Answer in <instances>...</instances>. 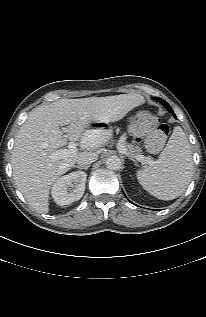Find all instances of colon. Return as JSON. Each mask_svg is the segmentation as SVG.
I'll list each match as a JSON object with an SVG mask.
<instances>
[{"label":"colon","mask_w":206,"mask_h":317,"mask_svg":"<svg viewBox=\"0 0 206 317\" xmlns=\"http://www.w3.org/2000/svg\"><path fill=\"white\" fill-rule=\"evenodd\" d=\"M135 122L150 131L146 140L147 148L152 151L159 150L169 134L168 125L159 123L157 118L147 111L138 112L135 115Z\"/></svg>","instance_id":"colon-1"}]
</instances>
